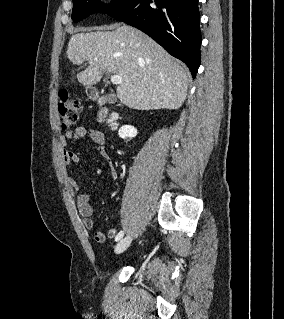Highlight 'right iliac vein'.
<instances>
[{
  "label": "right iliac vein",
  "instance_id": "1",
  "mask_svg": "<svg viewBox=\"0 0 284 319\" xmlns=\"http://www.w3.org/2000/svg\"><path fill=\"white\" fill-rule=\"evenodd\" d=\"M131 241H132V238L130 236H127L121 239L115 246V249H114L115 253L120 254L124 252L130 246Z\"/></svg>",
  "mask_w": 284,
  "mask_h": 319
}]
</instances>
